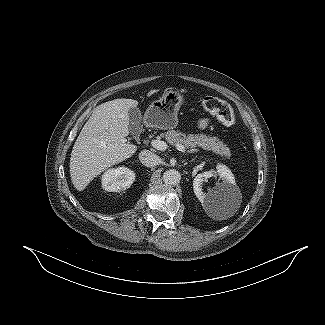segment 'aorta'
Returning a JSON list of instances; mask_svg holds the SVG:
<instances>
[{"label": "aorta", "mask_w": 325, "mask_h": 325, "mask_svg": "<svg viewBox=\"0 0 325 325\" xmlns=\"http://www.w3.org/2000/svg\"><path fill=\"white\" fill-rule=\"evenodd\" d=\"M180 180L181 174L175 169L167 170L163 174V181L166 185H177Z\"/></svg>", "instance_id": "1"}]
</instances>
